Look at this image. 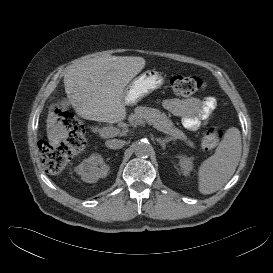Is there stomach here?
Here are the masks:
<instances>
[{
	"instance_id": "stomach-1",
	"label": "stomach",
	"mask_w": 273,
	"mask_h": 273,
	"mask_svg": "<svg viewBox=\"0 0 273 273\" xmlns=\"http://www.w3.org/2000/svg\"><path fill=\"white\" fill-rule=\"evenodd\" d=\"M164 82L162 74L155 70H147L134 78L124 90V104L135 105L142 98L161 87Z\"/></svg>"
}]
</instances>
